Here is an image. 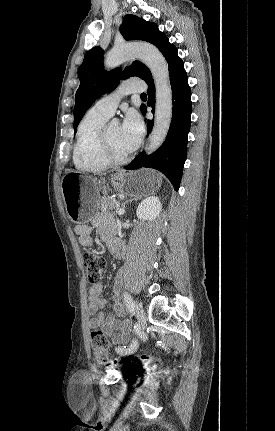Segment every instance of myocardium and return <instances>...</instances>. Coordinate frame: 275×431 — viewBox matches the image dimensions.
I'll return each instance as SVG.
<instances>
[{"mask_svg": "<svg viewBox=\"0 0 275 431\" xmlns=\"http://www.w3.org/2000/svg\"><path fill=\"white\" fill-rule=\"evenodd\" d=\"M108 127L109 126H104L100 134L101 155L109 165H123L131 159V155L128 153L124 156H118L113 152L107 138Z\"/></svg>", "mask_w": 275, "mask_h": 431, "instance_id": "f54148a6", "label": "myocardium"}]
</instances>
